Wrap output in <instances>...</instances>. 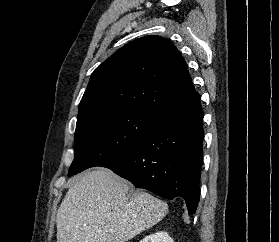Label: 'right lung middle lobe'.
<instances>
[{"instance_id": "obj_1", "label": "right lung middle lobe", "mask_w": 279, "mask_h": 242, "mask_svg": "<svg viewBox=\"0 0 279 242\" xmlns=\"http://www.w3.org/2000/svg\"><path fill=\"white\" fill-rule=\"evenodd\" d=\"M158 113L122 109L78 117L74 160L68 176L101 166L145 138L156 126Z\"/></svg>"}]
</instances>
